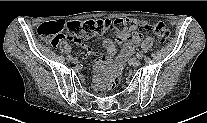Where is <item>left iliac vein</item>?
I'll use <instances>...</instances> for the list:
<instances>
[{"mask_svg":"<svg viewBox=\"0 0 207 123\" xmlns=\"http://www.w3.org/2000/svg\"><path fill=\"white\" fill-rule=\"evenodd\" d=\"M140 60L139 59H134L133 61H132V65L134 66V67H138L139 65H140Z\"/></svg>","mask_w":207,"mask_h":123,"instance_id":"obj_1","label":"left iliac vein"}]
</instances>
